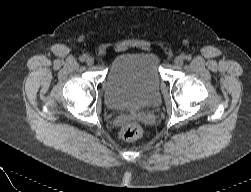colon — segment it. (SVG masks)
<instances>
[{
    "instance_id": "5ec220e1",
    "label": "colon",
    "mask_w": 251,
    "mask_h": 192,
    "mask_svg": "<svg viewBox=\"0 0 251 192\" xmlns=\"http://www.w3.org/2000/svg\"><path fill=\"white\" fill-rule=\"evenodd\" d=\"M143 135V128L137 122L126 125L122 131V137L128 142L136 141Z\"/></svg>"
}]
</instances>
